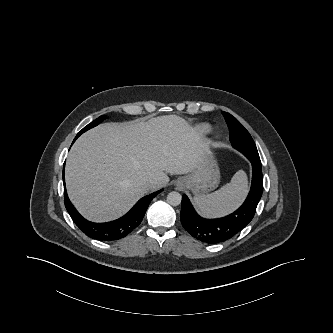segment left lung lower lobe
Returning a JSON list of instances; mask_svg holds the SVG:
<instances>
[{"instance_id": "left-lung-lower-lobe-1", "label": "left lung lower lobe", "mask_w": 333, "mask_h": 333, "mask_svg": "<svg viewBox=\"0 0 333 333\" xmlns=\"http://www.w3.org/2000/svg\"><path fill=\"white\" fill-rule=\"evenodd\" d=\"M247 158L252 163L251 189L243 205L234 213L219 219H204L196 213L188 197L183 195L181 223L197 240L211 244L224 242L240 232L254 217L263 190L262 167L258 156L249 155Z\"/></svg>"}]
</instances>
